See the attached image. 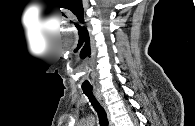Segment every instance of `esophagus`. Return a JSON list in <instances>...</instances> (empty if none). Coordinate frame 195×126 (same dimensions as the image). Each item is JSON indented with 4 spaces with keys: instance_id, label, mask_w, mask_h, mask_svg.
<instances>
[{
    "instance_id": "obj_1",
    "label": "esophagus",
    "mask_w": 195,
    "mask_h": 126,
    "mask_svg": "<svg viewBox=\"0 0 195 126\" xmlns=\"http://www.w3.org/2000/svg\"><path fill=\"white\" fill-rule=\"evenodd\" d=\"M94 94H95L96 99L99 101L101 106L104 108V110H105V112L107 114L108 119H110V112H109L107 104H106V102H105V100H104V98H103V96H102V94L100 92V89L99 88H94ZM109 123H110V126H111L112 124H111L110 121H109Z\"/></svg>"
}]
</instances>
